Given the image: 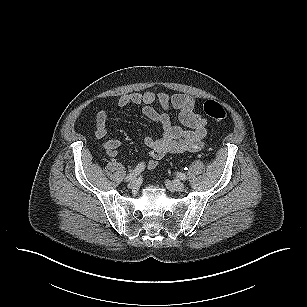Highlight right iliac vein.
<instances>
[{
    "label": "right iliac vein",
    "instance_id": "right-iliac-vein-1",
    "mask_svg": "<svg viewBox=\"0 0 307 307\" xmlns=\"http://www.w3.org/2000/svg\"><path fill=\"white\" fill-rule=\"evenodd\" d=\"M128 188H130V189H136V188H138V182H137V180H132V181L128 184Z\"/></svg>",
    "mask_w": 307,
    "mask_h": 307
}]
</instances>
